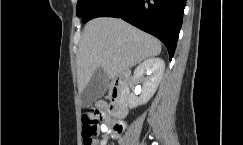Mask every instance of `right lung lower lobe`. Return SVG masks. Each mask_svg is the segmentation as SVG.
Returning <instances> with one entry per match:
<instances>
[{
    "mask_svg": "<svg viewBox=\"0 0 243 145\" xmlns=\"http://www.w3.org/2000/svg\"><path fill=\"white\" fill-rule=\"evenodd\" d=\"M186 0H95L83 23L96 17L122 18L159 38L172 59L182 25Z\"/></svg>",
    "mask_w": 243,
    "mask_h": 145,
    "instance_id": "right-lung-lower-lobe-1",
    "label": "right lung lower lobe"
}]
</instances>
